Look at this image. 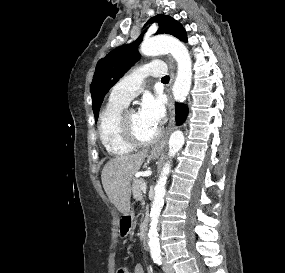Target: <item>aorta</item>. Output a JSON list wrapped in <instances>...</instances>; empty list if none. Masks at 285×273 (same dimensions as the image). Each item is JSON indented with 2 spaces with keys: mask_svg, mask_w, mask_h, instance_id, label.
Wrapping results in <instances>:
<instances>
[{
  "mask_svg": "<svg viewBox=\"0 0 285 273\" xmlns=\"http://www.w3.org/2000/svg\"><path fill=\"white\" fill-rule=\"evenodd\" d=\"M141 53L145 56H158L170 53L177 62L178 70L173 84L172 93L176 101L182 102L186 99L192 83V61L186 46L179 40L169 36H156L143 41ZM184 144V135L181 131H174L169 139V157H174ZM171 170L170 162H167L155 185V194L150 213L149 247L151 255L160 254V243L158 235V219L164 196L166 193L167 177Z\"/></svg>",
  "mask_w": 285,
  "mask_h": 273,
  "instance_id": "aorta-1",
  "label": "aorta"
}]
</instances>
